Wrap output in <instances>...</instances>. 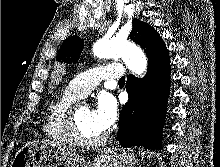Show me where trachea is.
<instances>
[{"instance_id":"trachea-1","label":"trachea","mask_w":220,"mask_h":167,"mask_svg":"<svg viewBox=\"0 0 220 167\" xmlns=\"http://www.w3.org/2000/svg\"><path fill=\"white\" fill-rule=\"evenodd\" d=\"M119 84H124L125 83V77H122L118 81Z\"/></svg>"}]
</instances>
